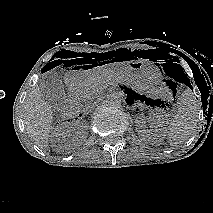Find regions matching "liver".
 <instances>
[{
	"mask_svg": "<svg viewBox=\"0 0 213 213\" xmlns=\"http://www.w3.org/2000/svg\"><path fill=\"white\" fill-rule=\"evenodd\" d=\"M117 64L97 67L89 73L99 79L114 72ZM52 108L42 98L38 85H35L28 94L23 107V120L26 132L30 139L41 149L48 148L49 133L52 128Z\"/></svg>",
	"mask_w": 213,
	"mask_h": 213,
	"instance_id": "obj_1",
	"label": "liver"
}]
</instances>
